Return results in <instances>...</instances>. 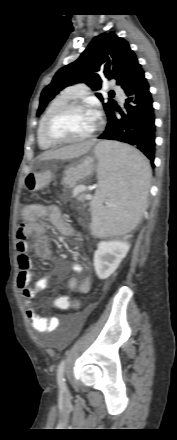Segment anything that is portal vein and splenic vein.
Instances as JSON below:
<instances>
[{
  "mask_svg": "<svg viewBox=\"0 0 177 440\" xmlns=\"http://www.w3.org/2000/svg\"><path fill=\"white\" fill-rule=\"evenodd\" d=\"M84 189H85V187H84ZM92 197L90 196V195H88L87 196V199H91ZM109 206H111V205H109Z\"/></svg>",
  "mask_w": 177,
  "mask_h": 440,
  "instance_id": "1",
  "label": "portal vein and splenic vein"
}]
</instances>
